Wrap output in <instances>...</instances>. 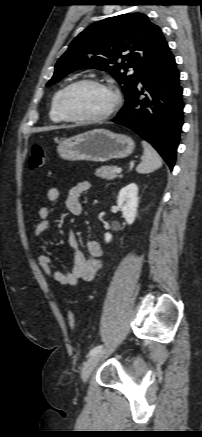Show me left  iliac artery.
<instances>
[{
  "label": "left iliac artery",
  "mask_w": 202,
  "mask_h": 437,
  "mask_svg": "<svg viewBox=\"0 0 202 437\" xmlns=\"http://www.w3.org/2000/svg\"><path fill=\"white\" fill-rule=\"evenodd\" d=\"M101 349H102V345L94 347L93 349L90 350L88 356H92V355L98 353L99 351H101Z\"/></svg>",
  "instance_id": "left-iliac-artery-1"
}]
</instances>
